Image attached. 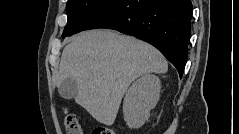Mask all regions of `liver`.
<instances>
[{
  "instance_id": "obj_1",
  "label": "liver",
  "mask_w": 239,
  "mask_h": 134,
  "mask_svg": "<svg viewBox=\"0 0 239 134\" xmlns=\"http://www.w3.org/2000/svg\"><path fill=\"white\" fill-rule=\"evenodd\" d=\"M168 71L163 55L153 46L110 30L82 32L61 56L57 86L76 82L74 100L98 122L111 126L130 84L140 76Z\"/></svg>"
}]
</instances>
